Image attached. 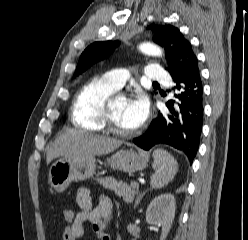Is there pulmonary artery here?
I'll use <instances>...</instances> for the list:
<instances>
[{"label": "pulmonary artery", "mask_w": 248, "mask_h": 240, "mask_svg": "<svg viewBox=\"0 0 248 240\" xmlns=\"http://www.w3.org/2000/svg\"><path fill=\"white\" fill-rule=\"evenodd\" d=\"M145 73L146 79L152 80L157 83H168L170 81L169 75L156 64L148 65L146 67ZM103 78L111 86L119 89L125 84L128 78V73L122 69H114L105 72L103 74Z\"/></svg>", "instance_id": "pulmonary-artery-1"}]
</instances>
